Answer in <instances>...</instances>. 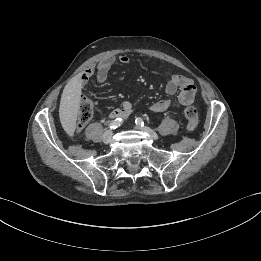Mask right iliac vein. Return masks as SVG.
I'll return each mask as SVG.
<instances>
[{
  "label": "right iliac vein",
  "instance_id": "63e3f726",
  "mask_svg": "<svg viewBox=\"0 0 261 261\" xmlns=\"http://www.w3.org/2000/svg\"><path fill=\"white\" fill-rule=\"evenodd\" d=\"M112 136H113V132L112 131H110V130L106 131L104 133V135H103V138H102L103 142L105 144H109L111 142V140H112Z\"/></svg>",
  "mask_w": 261,
  "mask_h": 261
}]
</instances>
